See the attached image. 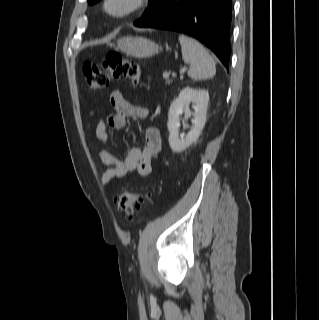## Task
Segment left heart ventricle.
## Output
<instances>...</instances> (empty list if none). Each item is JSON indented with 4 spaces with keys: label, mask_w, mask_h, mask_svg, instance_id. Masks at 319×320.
<instances>
[{
    "label": "left heart ventricle",
    "mask_w": 319,
    "mask_h": 320,
    "mask_svg": "<svg viewBox=\"0 0 319 320\" xmlns=\"http://www.w3.org/2000/svg\"><path fill=\"white\" fill-rule=\"evenodd\" d=\"M122 5H123L122 3L117 2V3L114 4V7L115 8H120Z\"/></svg>",
    "instance_id": "b2bd125f"
}]
</instances>
